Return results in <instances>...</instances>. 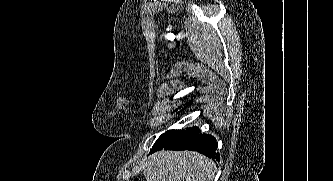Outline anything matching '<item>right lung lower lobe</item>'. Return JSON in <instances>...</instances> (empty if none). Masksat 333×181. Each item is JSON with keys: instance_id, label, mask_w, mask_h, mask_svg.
I'll return each mask as SVG.
<instances>
[{"instance_id": "right-lung-lower-lobe-1", "label": "right lung lower lobe", "mask_w": 333, "mask_h": 181, "mask_svg": "<svg viewBox=\"0 0 333 181\" xmlns=\"http://www.w3.org/2000/svg\"><path fill=\"white\" fill-rule=\"evenodd\" d=\"M158 149L193 150L220 161L219 153H216L217 143L215 138L211 135H202L198 128H195L170 145L153 147L151 152L157 151Z\"/></svg>"}]
</instances>
